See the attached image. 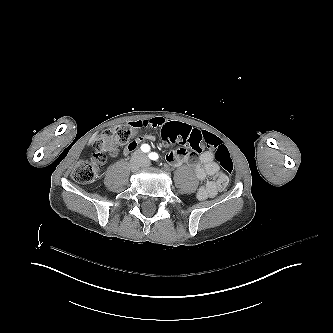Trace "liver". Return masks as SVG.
<instances>
[{
    "mask_svg": "<svg viewBox=\"0 0 333 333\" xmlns=\"http://www.w3.org/2000/svg\"><path fill=\"white\" fill-rule=\"evenodd\" d=\"M98 132H95L88 141V145H91L95 142Z\"/></svg>",
    "mask_w": 333,
    "mask_h": 333,
    "instance_id": "6515ba94",
    "label": "liver"
}]
</instances>
